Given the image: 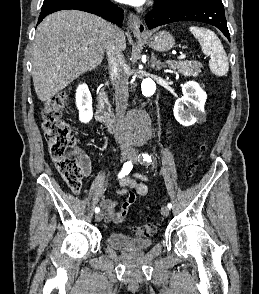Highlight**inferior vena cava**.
<instances>
[{
  "label": "inferior vena cava",
  "mask_w": 259,
  "mask_h": 294,
  "mask_svg": "<svg viewBox=\"0 0 259 294\" xmlns=\"http://www.w3.org/2000/svg\"><path fill=\"white\" fill-rule=\"evenodd\" d=\"M122 31L113 26V35L105 46L108 57L109 68L114 77V90L116 100V118L118 122L117 139L120 143H126L127 139L123 136L122 124L125 121V112L128 106V75L126 72V62L122 54L119 43V34Z\"/></svg>",
  "instance_id": "1"
}]
</instances>
